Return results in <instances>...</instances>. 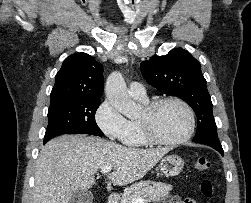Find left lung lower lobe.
<instances>
[{
    "label": "left lung lower lobe",
    "instance_id": "1",
    "mask_svg": "<svg viewBox=\"0 0 251 203\" xmlns=\"http://www.w3.org/2000/svg\"><path fill=\"white\" fill-rule=\"evenodd\" d=\"M211 147L217 150L221 155H223L224 152L221 145H211Z\"/></svg>",
    "mask_w": 251,
    "mask_h": 203
}]
</instances>
